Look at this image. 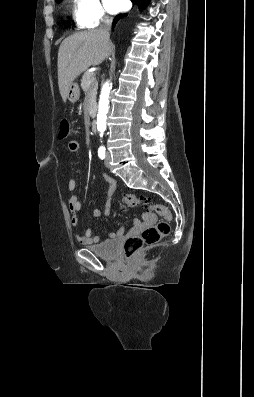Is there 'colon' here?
Listing matches in <instances>:
<instances>
[{"instance_id":"1","label":"colon","mask_w":254,"mask_h":397,"mask_svg":"<svg viewBox=\"0 0 254 397\" xmlns=\"http://www.w3.org/2000/svg\"><path fill=\"white\" fill-rule=\"evenodd\" d=\"M70 135V126L67 120H61L59 123L60 139L64 140ZM122 206L125 208L148 207L149 210L156 212L163 217L156 225L144 229L141 234L130 236L124 243V254L126 257L133 256L138 250L144 246L154 245L162 238L166 237L171 230L170 220L171 212L161 204H151L150 201L139 195L123 194L121 197Z\"/></svg>"}]
</instances>
